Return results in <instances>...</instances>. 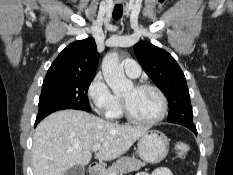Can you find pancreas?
I'll return each mask as SVG.
<instances>
[{
    "instance_id": "cf45deb5",
    "label": "pancreas",
    "mask_w": 233,
    "mask_h": 175,
    "mask_svg": "<svg viewBox=\"0 0 233 175\" xmlns=\"http://www.w3.org/2000/svg\"><path fill=\"white\" fill-rule=\"evenodd\" d=\"M145 163L134 157L124 156L119 158L108 169L103 170L101 175H119L123 172L136 171L144 167Z\"/></svg>"
}]
</instances>
